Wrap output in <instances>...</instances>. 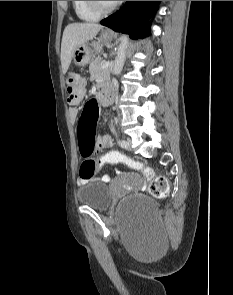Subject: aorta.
Returning a JSON list of instances; mask_svg holds the SVG:
<instances>
[{
    "mask_svg": "<svg viewBox=\"0 0 233 295\" xmlns=\"http://www.w3.org/2000/svg\"><path fill=\"white\" fill-rule=\"evenodd\" d=\"M128 44H129L128 35H123L121 37V42H120V45L118 48L117 56L114 61L113 74H117V73L121 72V70L124 66V63H125L126 51L128 48Z\"/></svg>",
    "mask_w": 233,
    "mask_h": 295,
    "instance_id": "1",
    "label": "aorta"
}]
</instances>
